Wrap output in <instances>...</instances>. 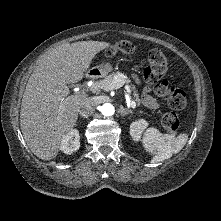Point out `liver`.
<instances>
[{
    "mask_svg": "<svg viewBox=\"0 0 221 221\" xmlns=\"http://www.w3.org/2000/svg\"><path fill=\"white\" fill-rule=\"evenodd\" d=\"M109 46L100 41L64 43L41 57L26 85L20 110L22 134L38 158L51 160L58 155L86 98L69 95L67 84L80 81L96 54Z\"/></svg>",
    "mask_w": 221,
    "mask_h": 221,
    "instance_id": "liver-1",
    "label": "liver"
}]
</instances>
